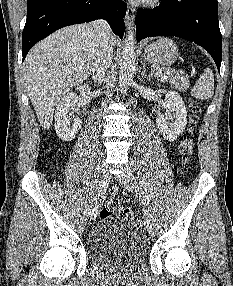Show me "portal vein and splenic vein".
I'll list each match as a JSON object with an SVG mask.
<instances>
[{
  "mask_svg": "<svg viewBox=\"0 0 233 286\" xmlns=\"http://www.w3.org/2000/svg\"><path fill=\"white\" fill-rule=\"evenodd\" d=\"M155 76L158 77V78H162V77H163L162 71L156 72V73H155Z\"/></svg>",
  "mask_w": 233,
  "mask_h": 286,
  "instance_id": "18ae733b",
  "label": "portal vein and splenic vein"
}]
</instances>
